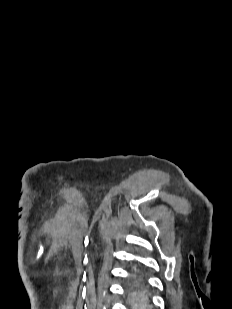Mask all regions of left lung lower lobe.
Instances as JSON below:
<instances>
[{
    "instance_id": "left-lung-lower-lobe-1",
    "label": "left lung lower lobe",
    "mask_w": 232,
    "mask_h": 309,
    "mask_svg": "<svg viewBox=\"0 0 232 309\" xmlns=\"http://www.w3.org/2000/svg\"><path fill=\"white\" fill-rule=\"evenodd\" d=\"M133 291V309H150L151 300L146 283V276L141 267L133 269L132 278L128 287V293Z\"/></svg>"
}]
</instances>
